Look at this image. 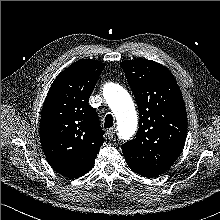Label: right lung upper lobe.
Masks as SVG:
<instances>
[{
  "label": "right lung upper lobe",
  "mask_w": 220,
  "mask_h": 220,
  "mask_svg": "<svg viewBox=\"0 0 220 220\" xmlns=\"http://www.w3.org/2000/svg\"><path fill=\"white\" fill-rule=\"evenodd\" d=\"M104 63L82 59L62 71L51 85L41 112L44 154L59 174L78 178L92 169L104 142L90 95Z\"/></svg>",
  "instance_id": "right-lung-upper-lobe-1"
}]
</instances>
